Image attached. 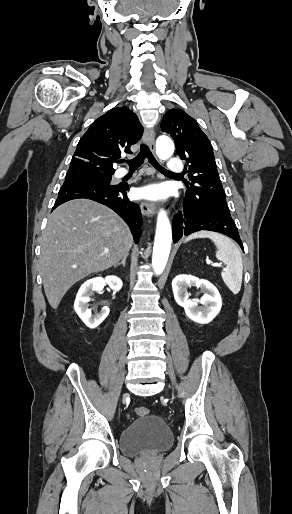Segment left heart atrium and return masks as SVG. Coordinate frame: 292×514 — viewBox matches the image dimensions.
Wrapping results in <instances>:
<instances>
[{
  "label": "left heart atrium",
  "mask_w": 292,
  "mask_h": 514,
  "mask_svg": "<svg viewBox=\"0 0 292 514\" xmlns=\"http://www.w3.org/2000/svg\"><path fill=\"white\" fill-rule=\"evenodd\" d=\"M161 193V189L155 186H149L140 190V194L144 197H155Z\"/></svg>",
  "instance_id": "obj_1"
}]
</instances>
